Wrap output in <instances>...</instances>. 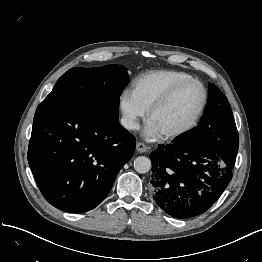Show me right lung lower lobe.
Returning a JSON list of instances; mask_svg holds the SVG:
<instances>
[{"label": "right lung lower lobe", "mask_w": 262, "mask_h": 262, "mask_svg": "<svg viewBox=\"0 0 262 262\" xmlns=\"http://www.w3.org/2000/svg\"><path fill=\"white\" fill-rule=\"evenodd\" d=\"M134 150V136L118 120L78 105L42 102L34 115L28 162L50 204L81 213L109 194Z\"/></svg>", "instance_id": "1"}]
</instances>
